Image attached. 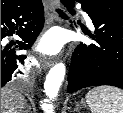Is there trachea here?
Segmentation results:
<instances>
[{
  "mask_svg": "<svg viewBox=\"0 0 123 113\" xmlns=\"http://www.w3.org/2000/svg\"><path fill=\"white\" fill-rule=\"evenodd\" d=\"M58 11V13L60 14V16H62V17H66V15L61 11V10H57Z\"/></svg>",
  "mask_w": 123,
  "mask_h": 113,
  "instance_id": "trachea-1",
  "label": "trachea"
}]
</instances>
